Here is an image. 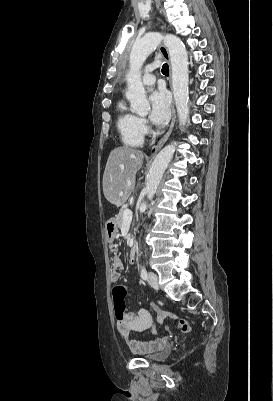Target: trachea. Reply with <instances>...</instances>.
I'll return each mask as SVG.
<instances>
[{
  "mask_svg": "<svg viewBox=\"0 0 273 401\" xmlns=\"http://www.w3.org/2000/svg\"><path fill=\"white\" fill-rule=\"evenodd\" d=\"M162 73L164 75H168L169 74V67H168L167 63H164V65L162 67Z\"/></svg>",
  "mask_w": 273,
  "mask_h": 401,
  "instance_id": "1",
  "label": "trachea"
}]
</instances>
